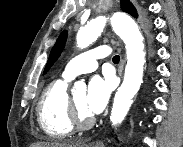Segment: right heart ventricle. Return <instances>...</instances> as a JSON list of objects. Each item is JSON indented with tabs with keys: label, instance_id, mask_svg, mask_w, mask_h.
Listing matches in <instances>:
<instances>
[{
	"label": "right heart ventricle",
	"instance_id": "right-heart-ventricle-1",
	"mask_svg": "<svg viewBox=\"0 0 183 147\" xmlns=\"http://www.w3.org/2000/svg\"><path fill=\"white\" fill-rule=\"evenodd\" d=\"M69 80L57 79L43 91L37 107L38 122L46 135L53 139L71 136L74 125L70 117Z\"/></svg>",
	"mask_w": 183,
	"mask_h": 147
}]
</instances>
